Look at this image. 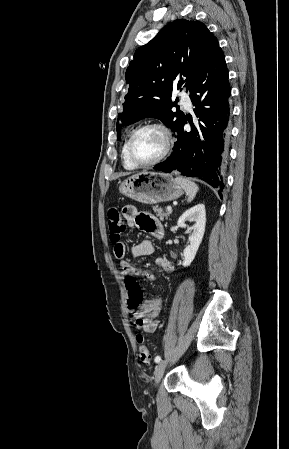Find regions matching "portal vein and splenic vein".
I'll return each mask as SVG.
<instances>
[{
	"mask_svg": "<svg viewBox=\"0 0 289 449\" xmlns=\"http://www.w3.org/2000/svg\"><path fill=\"white\" fill-rule=\"evenodd\" d=\"M167 211L171 212L172 211V207L171 206H167Z\"/></svg>",
	"mask_w": 289,
	"mask_h": 449,
	"instance_id": "obj_1",
	"label": "portal vein and splenic vein"
}]
</instances>
